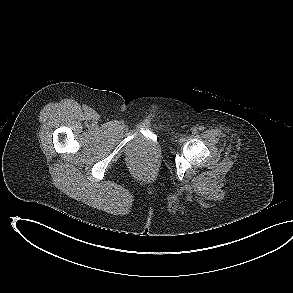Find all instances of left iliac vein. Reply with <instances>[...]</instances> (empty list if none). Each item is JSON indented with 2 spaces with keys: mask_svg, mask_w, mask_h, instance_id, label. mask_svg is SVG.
Wrapping results in <instances>:
<instances>
[{
  "mask_svg": "<svg viewBox=\"0 0 293 293\" xmlns=\"http://www.w3.org/2000/svg\"><path fill=\"white\" fill-rule=\"evenodd\" d=\"M192 132H193V134H196L197 133V131H198V128L197 127H192Z\"/></svg>",
  "mask_w": 293,
  "mask_h": 293,
  "instance_id": "left-iliac-vein-1",
  "label": "left iliac vein"
}]
</instances>
